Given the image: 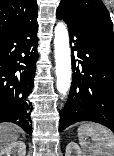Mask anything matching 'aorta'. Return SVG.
I'll return each instance as SVG.
<instances>
[{
    "mask_svg": "<svg viewBox=\"0 0 114 156\" xmlns=\"http://www.w3.org/2000/svg\"><path fill=\"white\" fill-rule=\"evenodd\" d=\"M54 48L57 76V90L65 96L71 83V52L69 35L66 25L59 22L54 30Z\"/></svg>",
    "mask_w": 114,
    "mask_h": 156,
    "instance_id": "obj_1",
    "label": "aorta"
}]
</instances>
